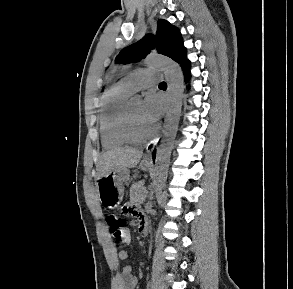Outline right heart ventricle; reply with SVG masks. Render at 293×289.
Wrapping results in <instances>:
<instances>
[{
    "instance_id": "right-heart-ventricle-1",
    "label": "right heart ventricle",
    "mask_w": 293,
    "mask_h": 289,
    "mask_svg": "<svg viewBox=\"0 0 293 289\" xmlns=\"http://www.w3.org/2000/svg\"><path fill=\"white\" fill-rule=\"evenodd\" d=\"M131 92L120 83L112 86L102 98L100 113L101 142L105 149L127 145L123 131L124 110Z\"/></svg>"
}]
</instances>
